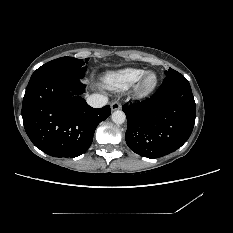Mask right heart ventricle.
I'll use <instances>...</instances> for the list:
<instances>
[{"mask_svg":"<svg viewBox=\"0 0 233 233\" xmlns=\"http://www.w3.org/2000/svg\"><path fill=\"white\" fill-rule=\"evenodd\" d=\"M141 68H125L117 72L106 74L102 79V85L112 91H125L135 85L144 75Z\"/></svg>","mask_w":233,"mask_h":233,"instance_id":"1","label":"right heart ventricle"}]
</instances>
